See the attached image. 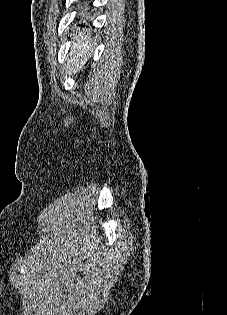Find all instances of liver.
<instances>
[{"mask_svg":"<svg viewBox=\"0 0 227 315\" xmlns=\"http://www.w3.org/2000/svg\"><path fill=\"white\" fill-rule=\"evenodd\" d=\"M93 48L94 44L87 41L86 37L81 33L78 36V40L73 43L66 60L64 71L67 76L75 75L83 68L93 52Z\"/></svg>","mask_w":227,"mask_h":315,"instance_id":"1","label":"liver"}]
</instances>
